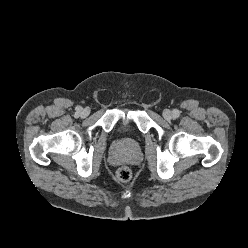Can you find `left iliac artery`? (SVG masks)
<instances>
[{
	"label": "left iliac artery",
	"mask_w": 248,
	"mask_h": 248,
	"mask_svg": "<svg viewBox=\"0 0 248 248\" xmlns=\"http://www.w3.org/2000/svg\"><path fill=\"white\" fill-rule=\"evenodd\" d=\"M179 115H180L179 110L174 109V110H173V116H174L175 118H178V117H179Z\"/></svg>",
	"instance_id": "left-iliac-artery-1"
}]
</instances>
